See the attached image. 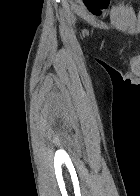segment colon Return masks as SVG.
<instances>
[{"mask_svg":"<svg viewBox=\"0 0 140 196\" xmlns=\"http://www.w3.org/2000/svg\"><path fill=\"white\" fill-rule=\"evenodd\" d=\"M107 2V0H103V3H106Z\"/></svg>","mask_w":140,"mask_h":196,"instance_id":"obj_1","label":"colon"}]
</instances>
